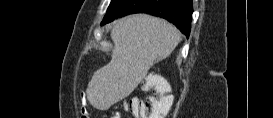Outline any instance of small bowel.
<instances>
[{
	"label": "small bowel",
	"instance_id": "1",
	"mask_svg": "<svg viewBox=\"0 0 273 118\" xmlns=\"http://www.w3.org/2000/svg\"><path fill=\"white\" fill-rule=\"evenodd\" d=\"M84 114H87V112L86 111H84V109L82 110V115H84Z\"/></svg>",
	"mask_w": 273,
	"mask_h": 118
}]
</instances>
